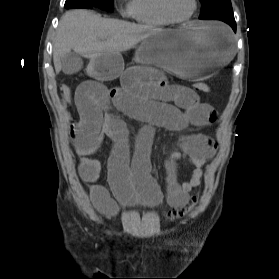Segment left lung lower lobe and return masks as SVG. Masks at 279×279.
Instances as JSON below:
<instances>
[{
	"label": "left lung lower lobe",
	"instance_id": "obj_1",
	"mask_svg": "<svg viewBox=\"0 0 279 279\" xmlns=\"http://www.w3.org/2000/svg\"><path fill=\"white\" fill-rule=\"evenodd\" d=\"M219 20L229 24L232 27V29L234 30V32H236V22H235L234 16L221 18Z\"/></svg>",
	"mask_w": 279,
	"mask_h": 279
}]
</instances>
